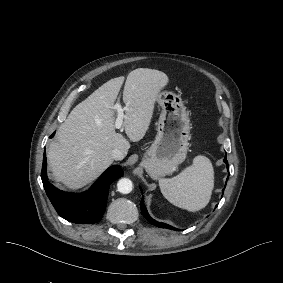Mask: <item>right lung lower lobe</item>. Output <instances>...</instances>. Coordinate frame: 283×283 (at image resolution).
I'll return each instance as SVG.
<instances>
[{
  "mask_svg": "<svg viewBox=\"0 0 283 283\" xmlns=\"http://www.w3.org/2000/svg\"><path fill=\"white\" fill-rule=\"evenodd\" d=\"M54 134L55 132L50 138ZM46 165V153L44 152L41 178L48 198L58 214L74 223L91 224L100 221L107 205L110 184L123 175L121 167L111 166L88 191L71 194L62 192L49 183Z\"/></svg>",
  "mask_w": 283,
  "mask_h": 283,
  "instance_id": "98d812e1",
  "label": "right lung lower lobe"
}]
</instances>
